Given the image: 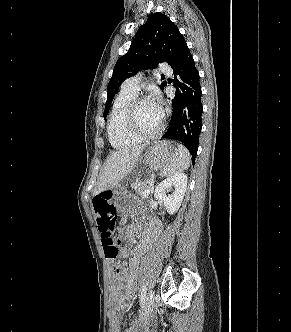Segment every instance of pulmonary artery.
Wrapping results in <instances>:
<instances>
[{"mask_svg":"<svg viewBox=\"0 0 291 332\" xmlns=\"http://www.w3.org/2000/svg\"><path fill=\"white\" fill-rule=\"evenodd\" d=\"M159 70L164 74H171L172 69L167 64H160ZM140 78L138 76L130 77L122 84V89L137 94L139 90Z\"/></svg>","mask_w":291,"mask_h":332,"instance_id":"e3ab8cb5","label":"pulmonary artery"}]
</instances>
